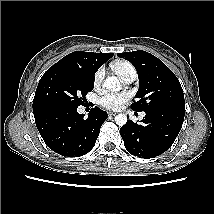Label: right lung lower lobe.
Returning <instances> with one entry per match:
<instances>
[{
  "instance_id": "1",
  "label": "right lung lower lobe",
  "mask_w": 214,
  "mask_h": 214,
  "mask_svg": "<svg viewBox=\"0 0 214 214\" xmlns=\"http://www.w3.org/2000/svg\"><path fill=\"white\" fill-rule=\"evenodd\" d=\"M78 107L59 106L34 114L35 123L46 145L68 157L87 154L94 147L107 112L92 108L87 118Z\"/></svg>"
}]
</instances>
